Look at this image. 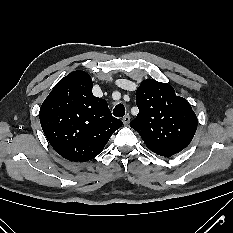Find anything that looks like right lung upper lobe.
Returning a JSON list of instances; mask_svg holds the SVG:
<instances>
[{
  "label": "right lung upper lobe",
  "mask_w": 233,
  "mask_h": 233,
  "mask_svg": "<svg viewBox=\"0 0 233 233\" xmlns=\"http://www.w3.org/2000/svg\"><path fill=\"white\" fill-rule=\"evenodd\" d=\"M91 77L73 71L64 77L41 105L43 132L54 150L70 161L96 157L111 135L122 126L107 102L92 94Z\"/></svg>",
  "instance_id": "obj_1"
}]
</instances>
